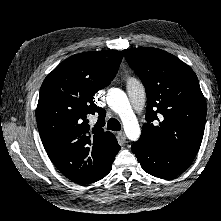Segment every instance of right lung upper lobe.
Masks as SVG:
<instances>
[{"instance_id":"obj_1","label":"right lung upper lobe","mask_w":221,"mask_h":221,"mask_svg":"<svg viewBox=\"0 0 221 221\" xmlns=\"http://www.w3.org/2000/svg\"><path fill=\"white\" fill-rule=\"evenodd\" d=\"M122 58L117 50L73 55L41 86L36 109L40 137L53 164L73 182L98 178L120 150L115 136L100 126L91 128L88 117L98 114L104 125L106 112L93 96L111 83Z\"/></svg>"}]
</instances>
